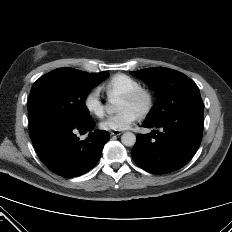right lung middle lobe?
Masks as SVG:
<instances>
[{
  "mask_svg": "<svg viewBox=\"0 0 232 232\" xmlns=\"http://www.w3.org/2000/svg\"><path fill=\"white\" fill-rule=\"evenodd\" d=\"M108 76L107 72L88 73L72 68H59L43 75L31 88L29 121L45 119L75 124L91 121L85 96Z\"/></svg>",
  "mask_w": 232,
  "mask_h": 232,
  "instance_id": "dd1d6c3e",
  "label": "right lung middle lobe"
}]
</instances>
